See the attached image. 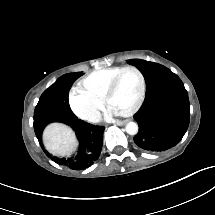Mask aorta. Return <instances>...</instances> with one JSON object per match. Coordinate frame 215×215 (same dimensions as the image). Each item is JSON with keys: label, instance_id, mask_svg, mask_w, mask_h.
I'll list each match as a JSON object with an SVG mask.
<instances>
[{"label": "aorta", "instance_id": "762f6f07", "mask_svg": "<svg viewBox=\"0 0 215 215\" xmlns=\"http://www.w3.org/2000/svg\"><path fill=\"white\" fill-rule=\"evenodd\" d=\"M125 129L129 135H135L138 132V125L135 122H129Z\"/></svg>", "mask_w": 215, "mask_h": 215}]
</instances>
